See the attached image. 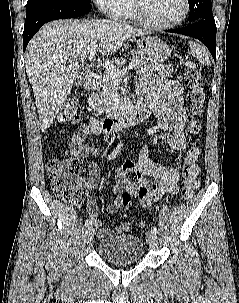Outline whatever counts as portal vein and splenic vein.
Segmentation results:
<instances>
[{
  "label": "portal vein and splenic vein",
  "mask_w": 239,
  "mask_h": 303,
  "mask_svg": "<svg viewBox=\"0 0 239 303\" xmlns=\"http://www.w3.org/2000/svg\"><path fill=\"white\" fill-rule=\"evenodd\" d=\"M98 46L97 45H93L90 47L89 49V60H95V53H96V50H97ZM82 61H84L85 59V56L81 57ZM98 63H100L109 73L110 75L115 79V80H119L121 77H123V75L126 73L127 69H132L136 66L139 65V62L136 61V60H133L129 63L128 67L126 68H123V70H120L118 68H116L114 66V64L108 62V61H105V62H102L100 60H98Z\"/></svg>",
  "instance_id": "1"
}]
</instances>
